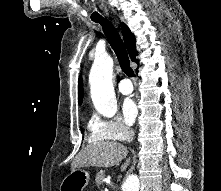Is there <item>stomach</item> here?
<instances>
[{"instance_id":"obj_1","label":"stomach","mask_w":221,"mask_h":191,"mask_svg":"<svg viewBox=\"0 0 221 191\" xmlns=\"http://www.w3.org/2000/svg\"><path fill=\"white\" fill-rule=\"evenodd\" d=\"M90 175L87 171L77 168L64 178L60 184L59 191H83L88 185Z\"/></svg>"}]
</instances>
